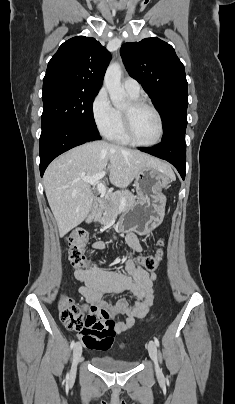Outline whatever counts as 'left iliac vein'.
<instances>
[{
	"instance_id": "4c4485c4",
	"label": "left iliac vein",
	"mask_w": 235,
	"mask_h": 404,
	"mask_svg": "<svg viewBox=\"0 0 235 404\" xmlns=\"http://www.w3.org/2000/svg\"><path fill=\"white\" fill-rule=\"evenodd\" d=\"M148 351H149V355H150L151 359L154 362L156 372H160V368H159V365H158V358H157V348H156V345H155V343L153 341L149 342Z\"/></svg>"
}]
</instances>
